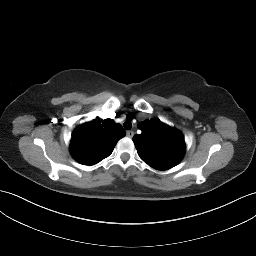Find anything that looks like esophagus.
<instances>
[{
  "label": "esophagus",
  "instance_id": "1",
  "mask_svg": "<svg viewBox=\"0 0 256 256\" xmlns=\"http://www.w3.org/2000/svg\"><path fill=\"white\" fill-rule=\"evenodd\" d=\"M127 136L129 138H132L134 136V132L133 131H127Z\"/></svg>",
  "mask_w": 256,
  "mask_h": 256
}]
</instances>
